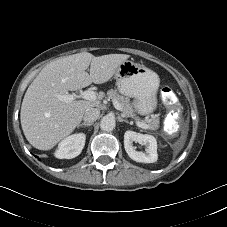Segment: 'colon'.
Masks as SVG:
<instances>
[{"label": "colon", "instance_id": "5ec220e1", "mask_svg": "<svg viewBox=\"0 0 227 227\" xmlns=\"http://www.w3.org/2000/svg\"><path fill=\"white\" fill-rule=\"evenodd\" d=\"M160 95L162 100L170 105L179 104V101L175 92L170 87H163L160 91Z\"/></svg>", "mask_w": 227, "mask_h": 227}]
</instances>
